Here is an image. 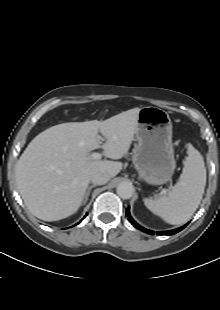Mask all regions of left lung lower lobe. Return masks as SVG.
Masks as SVG:
<instances>
[{"label": "left lung lower lobe", "mask_w": 220, "mask_h": 310, "mask_svg": "<svg viewBox=\"0 0 220 310\" xmlns=\"http://www.w3.org/2000/svg\"><path fill=\"white\" fill-rule=\"evenodd\" d=\"M126 215L128 216V220L130 221V223L132 225H134L137 229L145 232V233H148V234H151V235H154V231H151V230H148L142 226H140L138 223H136L133 218L130 216V212H129V208L126 209ZM188 224V223H187ZM185 224L184 226L180 227V228H177V229H174V230H170V231H161V232H157L158 235H173V234H176L178 233L179 231H181L182 229H184L186 227Z\"/></svg>", "instance_id": "0a47b994"}]
</instances>
